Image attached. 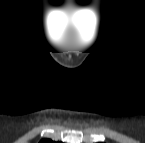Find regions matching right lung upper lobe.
I'll use <instances>...</instances> for the list:
<instances>
[{"label":"right lung upper lobe","instance_id":"1","mask_svg":"<svg viewBox=\"0 0 145 143\" xmlns=\"http://www.w3.org/2000/svg\"><path fill=\"white\" fill-rule=\"evenodd\" d=\"M40 143H52V140L43 139V140L40 141Z\"/></svg>","mask_w":145,"mask_h":143}]
</instances>
